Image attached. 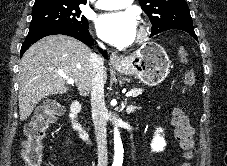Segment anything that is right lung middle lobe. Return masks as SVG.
Returning <instances> with one entry per match:
<instances>
[{
	"instance_id": "1",
	"label": "right lung middle lobe",
	"mask_w": 227,
	"mask_h": 166,
	"mask_svg": "<svg viewBox=\"0 0 227 166\" xmlns=\"http://www.w3.org/2000/svg\"><path fill=\"white\" fill-rule=\"evenodd\" d=\"M78 5L71 3H42L34 5L28 34L51 27L88 29V21L81 15Z\"/></svg>"
}]
</instances>
